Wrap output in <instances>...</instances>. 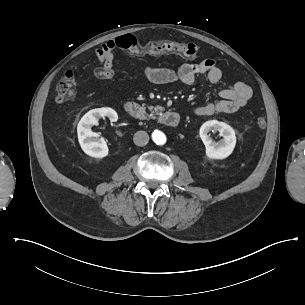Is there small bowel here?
Instances as JSON below:
<instances>
[{"mask_svg":"<svg viewBox=\"0 0 305 305\" xmlns=\"http://www.w3.org/2000/svg\"><path fill=\"white\" fill-rule=\"evenodd\" d=\"M114 44L112 38L107 39L106 43L95 48L94 53L102 56L105 67L113 66ZM147 80L153 84L165 85L172 83H183L192 85L198 76L206 75L211 83H219L222 79V70L211 58L203 59L198 63L184 64L178 69L147 67L144 71ZM220 100L196 106L193 113L196 116H207L221 112H234L244 107L252 97L251 87L241 81L235 82L232 86L222 89L219 92Z\"/></svg>","mask_w":305,"mask_h":305,"instance_id":"c3829d8e","label":"small bowel"}]
</instances>
